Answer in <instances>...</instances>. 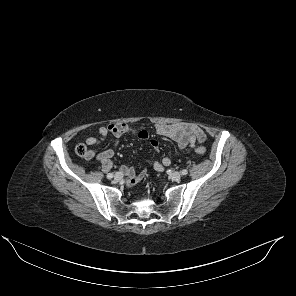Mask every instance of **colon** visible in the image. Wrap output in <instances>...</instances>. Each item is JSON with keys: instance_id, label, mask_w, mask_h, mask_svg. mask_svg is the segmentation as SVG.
<instances>
[{"instance_id": "5ec220e1", "label": "colon", "mask_w": 296, "mask_h": 296, "mask_svg": "<svg viewBox=\"0 0 296 296\" xmlns=\"http://www.w3.org/2000/svg\"><path fill=\"white\" fill-rule=\"evenodd\" d=\"M75 151L80 157L87 158L91 155V151L88 150V148L84 144L77 145ZM195 151L200 155H204L206 153V149L201 145L197 146L195 148Z\"/></svg>"}]
</instances>
